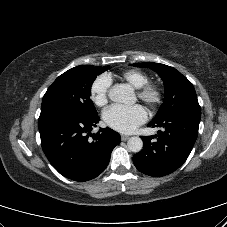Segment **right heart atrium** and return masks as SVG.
<instances>
[{"label": "right heart atrium", "mask_w": 227, "mask_h": 227, "mask_svg": "<svg viewBox=\"0 0 227 227\" xmlns=\"http://www.w3.org/2000/svg\"><path fill=\"white\" fill-rule=\"evenodd\" d=\"M111 80L108 75L97 77L90 87V98L96 106H104L108 101Z\"/></svg>", "instance_id": "1"}]
</instances>
